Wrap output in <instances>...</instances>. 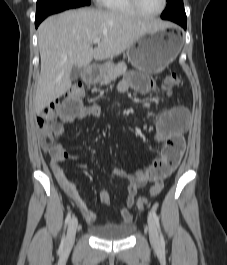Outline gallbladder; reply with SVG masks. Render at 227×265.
<instances>
[{
	"label": "gallbladder",
	"instance_id": "1",
	"mask_svg": "<svg viewBox=\"0 0 227 265\" xmlns=\"http://www.w3.org/2000/svg\"><path fill=\"white\" fill-rule=\"evenodd\" d=\"M81 72H82V69L81 68L74 66L72 68L71 74H70L71 80L72 81L77 80L80 77Z\"/></svg>",
	"mask_w": 227,
	"mask_h": 265
}]
</instances>
